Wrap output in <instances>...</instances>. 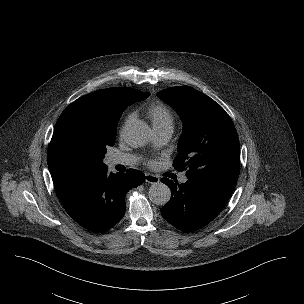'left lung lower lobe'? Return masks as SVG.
Instances as JSON below:
<instances>
[{"mask_svg": "<svg viewBox=\"0 0 304 304\" xmlns=\"http://www.w3.org/2000/svg\"><path fill=\"white\" fill-rule=\"evenodd\" d=\"M172 192L161 209L163 218L183 232L198 230L211 222L227 203L233 191L217 185L188 179L184 184L162 178Z\"/></svg>", "mask_w": 304, "mask_h": 304, "instance_id": "0a47b994", "label": "left lung lower lobe"}]
</instances>
